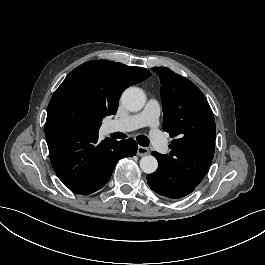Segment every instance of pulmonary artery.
<instances>
[{"label":"pulmonary artery","instance_id":"obj_1","mask_svg":"<svg viewBox=\"0 0 265 265\" xmlns=\"http://www.w3.org/2000/svg\"><path fill=\"white\" fill-rule=\"evenodd\" d=\"M149 99L144 111L138 114L124 116L110 122V128L115 132L122 134L126 131H139L143 128H149L157 123L160 116L158 104Z\"/></svg>","mask_w":265,"mask_h":265}]
</instances>
